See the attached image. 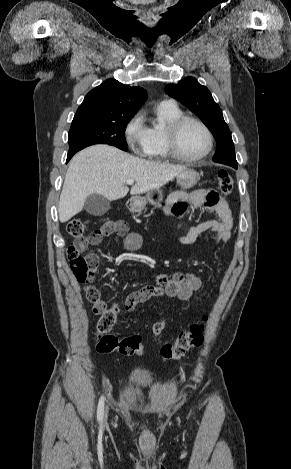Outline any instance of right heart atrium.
<instances>
[{"instance_id": "1", "label": "right heart atrium", "mask_w": 291, "mask_h": 469, "mask_svg": "<svg viewBox=\"0 0 291 469\" xmlns=\"http://www.w3.org/2000/svg\"><path fill=\"white\" fill-rule=\"evenodd\" d=\"M148 137V127L141 112L136 113L125 125L124 140L135 153H143Z\"/></svg>"}]
</instances>
